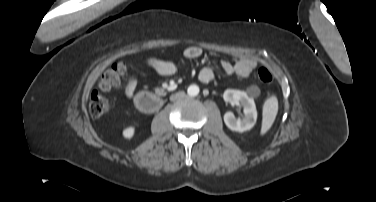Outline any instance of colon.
I'll use <instances>...</instances> for the list:
<instances>
[{
  "mask_svg": "<svg viewBox=\"0 0 376 202\" xmlns=\"http://www.w3.org/2000/svg\"><path fill=\"white\" fill-rule=\"evenodd\" d=\"M127 71V66L125 63L118 62L110 66V68L103 73L101 76L98 87L101 91H110L117 87L120 83V77L123 76ZM257 77L260 82L268 84L272 81V74L270 71L261 67L257 71ZM109 108V101L99 94L98 92H93L89 100V110L93 117H100L107 112Z\"/></svg>",
  "mask_w": 376,
  "mask_h": 202,
  "instance_id": "1",
  "label": "colon"
}]
</instances>
